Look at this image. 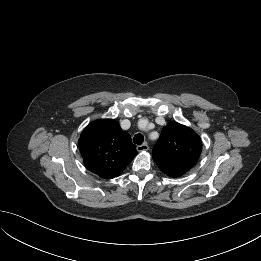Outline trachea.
Listing matches in <instances>:
<instances>
[{
	"label": "trachea",
	"mask_w": 261,
	"mask_h": 261,
	"mask_svg": "<svg viewBox=\"0 0 261 261\" xmlns=\"http://www.w3.org/2000/svg\"><path fill=\"white\" fill-rule=\"evenodd\" d=\"M144 141V136L142 134H136L133 137V142L137 145H141Z\"/></svg>",
	"instance_id": "1"
}]
</instances>
